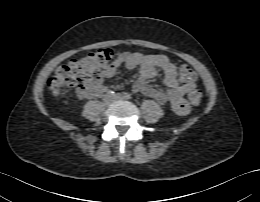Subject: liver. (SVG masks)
Wrapping results in <instances>:
<instances>
[{"label":"liver","instance_id":"6515ba94","mask_svg":"<svg viewBox=\"0 0 260 202\" xmlns=\"http://www.w3.org/2000/svg\"><path fill=\"white\" fill-rule=\"evenodd\" d=\"M52 93H53V96L57 97L60 95V89H53Z\"/></svg>","mask_w":260,"mask_h":202}]
</instances>
